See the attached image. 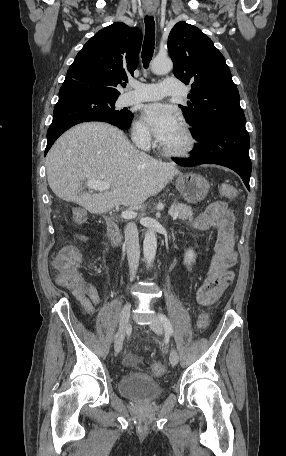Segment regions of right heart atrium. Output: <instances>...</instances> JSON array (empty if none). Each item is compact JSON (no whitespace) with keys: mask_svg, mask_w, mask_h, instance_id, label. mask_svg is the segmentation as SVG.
Masks as SVG:
<instances>
[{"mask_svg":"<svg viewBox=\"0 0 286 456\" xmlns=\"http://www.w3.org/2000/svg\"><path fill=\"white\" fill-rule=\"evenodd\" d=\"M132 138L133 141L142 148L149 147L152 142L150 131L141 120H137L133 124Z\"/></svg>","mask_w":286,"mask_h":456,"instance_id":"obj_1","label":"right heart atrium"}]
</instances>
